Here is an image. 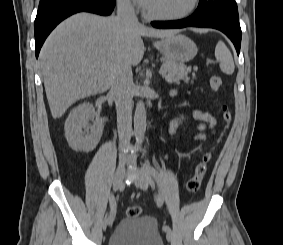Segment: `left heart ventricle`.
<instances>
[{
  "instance_id": "b2bd125f",
  "label": "left heart ventricle",
  "mask_w": 283,
  "mask_h": 245,
  "mask_svg": "<svg viewBox=\"0 0 283 245\" xmlns=\"http://www.w3.org/2000/svg\"><path fill=\"white\" fill-rule=\"evenodd\" d=\"M191 0H149L145 8L155 14L175 15L184 11Z\"/></svg>"
}]
</instances>
